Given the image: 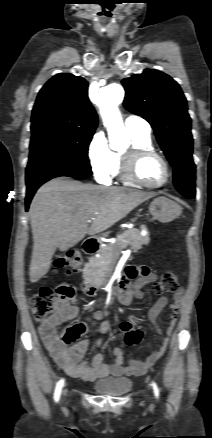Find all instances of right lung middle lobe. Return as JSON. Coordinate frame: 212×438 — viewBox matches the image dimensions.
<instances>
[{"label": "right lung middle lobe", "instance_id": "obj_1", "mask_svg": "<svg viewBox=\"0 0 212 438\" xmlns=\"http://www.w3.org/2000/svg\"><path fill=\"white\" fill-rule=\"evenodd\" d=\"M94 132L61 128L32 131L27 169L75 167L91 169L88 147Z\"/></svg>", "mask_w": 212, "mask_h": 438}]
</instances>
